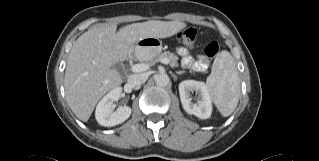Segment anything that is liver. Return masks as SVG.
Instances as JSON below:
<instances>
[{
    "label": "liver",
    "mask_w": 319,
    "mask_h": 161,
    "mask_svg": "<svg viewBox=\"0 0 319 161\" xmlns=\"http://www.w3.org/2000/svg\"><path fill=\"white\" fill-rule=\"evenodd\" d=\"M185 27L180 21L151 20L116 32V25L102 24L78 37L68 55L64 77L66 100L76 117L88 121L101 97L121 85L123 80L112 67L127 59L135 43L149 37L167 38Z\"/></svg>",
    "instance_id": "6515ba94"
}]
</instances>
